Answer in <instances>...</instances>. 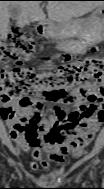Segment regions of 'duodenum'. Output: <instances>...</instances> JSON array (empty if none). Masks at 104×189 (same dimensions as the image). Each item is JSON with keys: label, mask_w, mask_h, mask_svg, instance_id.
<instances>
[{"label": "duodenum", "mask_w": 104, "mask_h": 189, "mask_svg": "<svg viewBox=\"0 0 104 189\" xmlns=\"http://www.w3.org/2000/svg\"><path fill=\"white\" fill-rule=\"evenodd\" d=\"M46 24H47L46 21H42V22H41L40 28L38 29V32H39L40 34H42L43 29L45 28Z\"/></svg>", "instance_id": "duodenum-1"}]
</instances>
